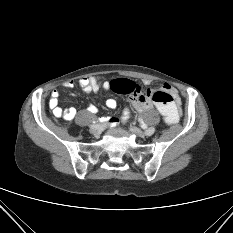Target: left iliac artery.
<instances>
[{"instance_id":"1","label":"left iliac artery","mask_w":233,"mask_h":233,"mask_svg":"<svg viewBox=\"0 0 233 233\" xmlns=\"http://www.w3.org/2000/svg\"><path fill=\"white\" fill-rule=\"evenodd\" d=\"M156 129L154 127L149 128L144 133L148 136L152 135Z\"/></svg>"}]
</instances>
